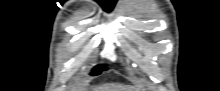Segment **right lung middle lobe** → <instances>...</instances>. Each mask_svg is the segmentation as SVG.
Listing matches in <instances>:
<instances>
[{
  "label": "right lung middle lobe",
  "instance_id": "obj_1",
  "mask_svg": "<svg viewBox=\"0 0 220 91\" xmlns=\"http://www.w3.org/2000/svg\"><path fill=\"white\" fill-rule=\"evenodd\" d=\"M101 71H102V67L101 66H97V67H95L93 70H92V75H98V74H100L101 73Z\"/></svg>",
  "mask_w": 220,
  "mask_h": 91
}]
</instances>
